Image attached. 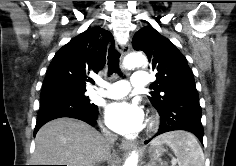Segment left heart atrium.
<instances>
[{"mask_svg":"<svg viewBox=\"0 0 236 166\" xmlns=\"http://www.w3.org/2000/svg\"><path fill=\"white\" fill-rule=\"evenodd\" d=\"M105 118L107 125L122 135L135 134L145 125L143 109L136 102L127 100L108 105Z\"/></svg>","mask_w":236,"mask_h":166,"instance_id":"left-heart-atrium-1","label":"left heart atrium"}]
</instances>
